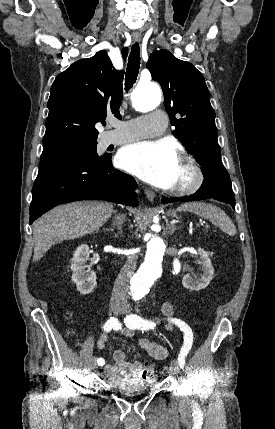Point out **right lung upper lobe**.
<instances>
[{
  "label": "right lung upper lobe",
  "instance_id": "1",
  "mask_svg": "<svg viewBox=\"0 0 275 429\" xmlns=\"http://www.w3.org/2000/svg\"><path fill=\"white\" fill-rule=\"evenodd\" d=\"M126 57L127 49H123ZM124 71L116 70L106 51L73 63L54 80L41 157L97 143L95 124L107 114L121 117Z\"/></svg>",
  "mask_w": 275,
  "mask_h": 429
}]
</instances>
